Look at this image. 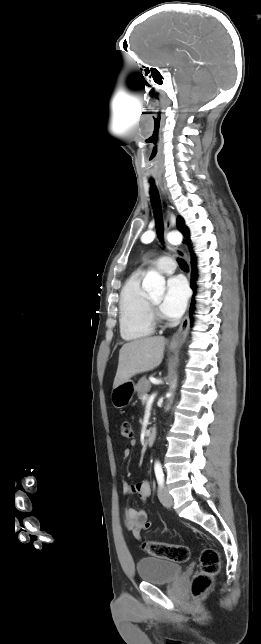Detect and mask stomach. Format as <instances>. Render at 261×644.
Returning <instances> with one entry per match:
<instances>
[{
  "instance_id": "1",
  "label": "stomach",
  "mask_w": 261,
  "mask_h": 644,
  "mask_svg": "<svg viewBox=\"0 0 261 644\" xmlns=\"http://www.w3.org/2000/svg\"><path fill=\"white\" fill-rule=\"evenodd\" d=\"M170 350L175 352L178 350V347L170 346ZM135 391L136 385L132 380H128L114 388L111 393L112 405L117 409L126 407L132 401Z\"/></svg>"
}]
</instances>
